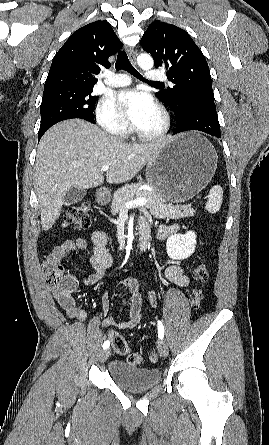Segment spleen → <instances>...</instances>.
<instances>
[{
    "mask_svg": "<svg viewBox=\"0 0 269 445\" xmlns=\"http://www.w3.org/2000/svg\"><path fill=\"white\" fill-rule=\"evenodd\" d=\"M223 199V190L220 185L213 186L209 191L205 209L214 214L220 210Z\"/></svg>",
    "mask_w": 269,
    "mask_h": 445,
    "instance_id": "1",
    "label": "spleen"
}]
</instances>
